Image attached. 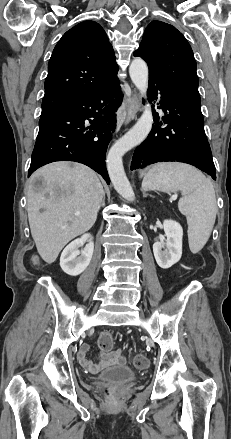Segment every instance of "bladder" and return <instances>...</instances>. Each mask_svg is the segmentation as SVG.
<instances>
[{
  "label": "bladder",
  "mask_w": 231,
  "mask_h": 439,
  "mask_svg": "<svg viewBox=\"0 0 231 439\" xmlns=\"http://www.w3.org/2000/svg\"><path fill=\"white\" fill-rule=\"evenodd\" d=\"M100 378L112 382H129L135 378L134 371L128 366L111 367L100 374Z\"/></svg>",
  "instance_id": "bladder-1"
}]
</instances>
